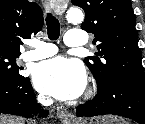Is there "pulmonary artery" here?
I'll return each instance as SVG.
<instances>
[{"instance_id":"1","label":"pulmonary artery","mask_w":145,"mask_h":124,"mask_svg":"<svg viewBox=\"0 0 145 124\" xmlns=\"http://www.w3.org/2000/svg\"><path fill=\"white\" fill-rule=\"evenodd\" d=\"M65 43L68 47H82L86 44L85 31L79 29H70L67 33ZM33 50L27 51L22 55L24 61H36L50 57L57 53V48L51 43L34 41Z\"/></svg>"}]
</instances>
